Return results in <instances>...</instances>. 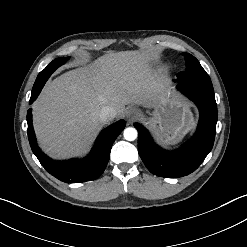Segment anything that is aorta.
I'll list each match as a JSON object with an SVG mask.
<instances>
[{"label": "aorta", "mask_w": 247, "mask_h": 247, "mask_svg": "<svg viewBox=\"0 0 247 247\" xmlns=\"http://www.w3.org/2000/svg\"><path fill=\"white\" fill-rule=\"evenodd\" d=\"M137 130L133 127H128L124 130V138L127 141H134L137 138Z\"/></svg>", "instance_id": "obj_1"}]
</instances>
